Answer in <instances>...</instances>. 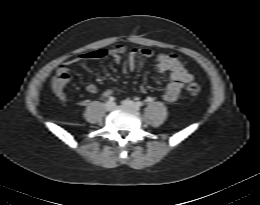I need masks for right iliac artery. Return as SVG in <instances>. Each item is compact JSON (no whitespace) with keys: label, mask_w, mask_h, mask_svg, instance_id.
<instances>
[{"label":"right iliac artery","mask_w":260,"mask_h":205,"mask_svg":"<svg viewBox=\"0 0 260 205\" xmlns=\"http://www.w3.org/2000/svg\"><path fill=\"white\" fill-rule=\"evenodd\" d=\"M108 100H109V102H113L115 100V98L111 96V97H109Z\"/></svg>","instance_id":"right-iliac-artery-1"}]
</instances>
